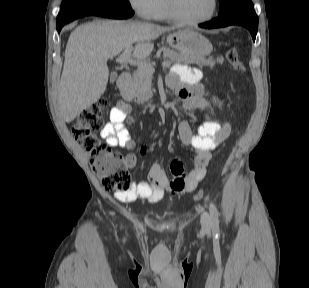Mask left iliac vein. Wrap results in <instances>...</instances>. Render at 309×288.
<instances>
[{
    "mask_svg": "<svg viewBox=\"0 0 309 288\" xmlns=\"http://www.w3.org/2000/svg\"><path fill=\"white\" fill-rule=\"evenodd\" d=\"M201 225H202L203 230L209 231V229H210V218H209V215H208L207 212L202 214Z\"/></svg>",
    "mask_w": 309,
    "mask_h": 288,
    "instance_id": "1",
    "label": "left iliac vein"
}]
</instances>
